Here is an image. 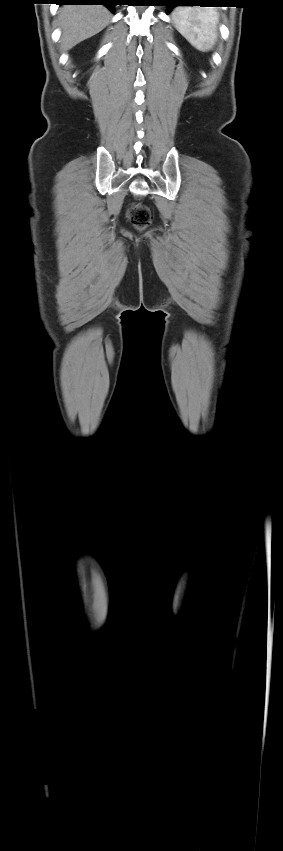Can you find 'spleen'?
I'll return each mask as SVG.
<instances>
[{
	"label": "spleen",
	"instance_id": "3e777b00",
	"mask_svg": "<svg viewBox=\"0 0 283 851\" xmlns=\"http://www.w3.org/2000/svg\"><path fill=\"white\" fill-rule=\"evenodd\" d=\"M173 21L179 33L197 50L210 51L217 39L219 14L214 8L178 7Z\"/></svg>",
	"mask_w": 283,
	"mask_h": 851
}]
</instances>
